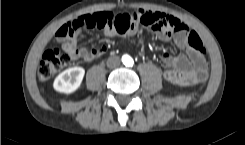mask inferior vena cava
I'll list each match as a JSON object with an SVG mask.
<instances>
[{
    "label": "inferior vena cava",
    "instance_id": "inferior-vena-cava-1",
    "mask_svg": "<svg viewBox=\"0 0 245 145\" xmlns=\"http://www.w3.org/2000/svg\"><path fill=\"white\" fill-rule=\"evenodd\" d=\"M120 65V58L118 56H112L107 60V66L109 68H115Z\"/></svg>",
    "mask_w": 245,
    "mask_h": 145
}]
</instances>
